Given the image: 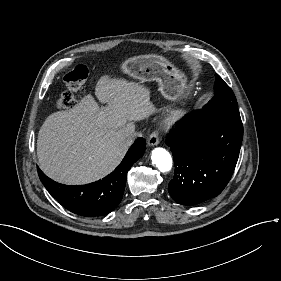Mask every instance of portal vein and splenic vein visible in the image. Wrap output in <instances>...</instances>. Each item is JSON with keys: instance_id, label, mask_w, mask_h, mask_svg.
<instances>
[{"instance_id": "portal-vein-and-splenic-vein-1", "label": "portal vein and splenic vein", "mask_w": 281, "mask_h": 281, "mask_svg": "<svg viewBox=\"0 0 281 281\" xmlns=\"http://www.w3.org/2000/svg\"><path fill=\"white\" fill-rule=\"evenodd\" d=\"M102 110L104 112H108L110 110V106L108 105V106L102 107Z\"/></svg>"}]
</instances>
